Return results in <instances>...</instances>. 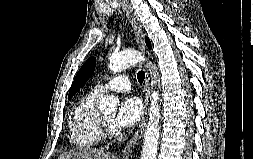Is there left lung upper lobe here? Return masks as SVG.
<instances>
[{
	"mask_svg": "<svg viewBox=\"0 0 253 159\" xmlns=\"http://www.w3.org/2000/svg\"><path fill=\"white\" fill-rule=\"evenodd\" d=\"M146 44L149 49H151V43L148 37H145ZM96 58H89L78 71L71 88L69 90L68 99H71L73 95L83 87L87 80L92 76L95 70Z\"/></svg>",
	"mask_w": 253,
	"mask_h": 159,
	"instance_id": "obj_1",
	"label": "left lung upper lobe"
}]
</instances>
